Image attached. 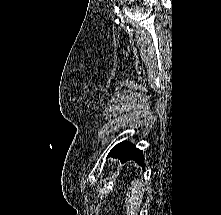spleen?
<instances>
[{"instance_id": "obj_1", "label": "spleen", "mask_w": 221, "mask_h": 215, "mask_svg": "<svg viewBox=\"0 0 221 215\" xmlns=\"http://www.w3.org/2000/svg\"><path fill=\"white\" fill-rule=\"evenodd\" d=\"M143 195V182L138 179L132 181L129 192L127 193V211L132 215H134L139 210Z\"/></svg>"}]
</instances>
